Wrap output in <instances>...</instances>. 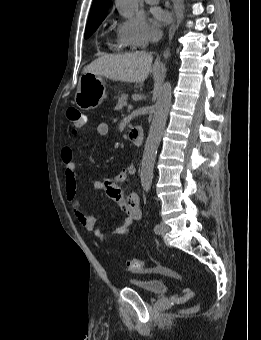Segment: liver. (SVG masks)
<instances>
[{
    "label": "liver",
    "instance_id": "obj_1",
    "mask_svg": "<svg viewBox=\"0 0 261 340\" xmlns=\"http://www.w3.org/2000/svg\"><path fill=\"white\" fill-rule=\"evenodd\" d=\"M152 61V55L145 51L104 54L87 65L83 73L101 75L114 81L140 83L154 71L151 68Z\"/></svg>",
    "mask_w": 261,
    "mask_h": 340
}]
</instances>
